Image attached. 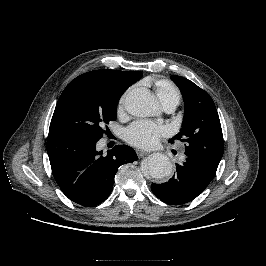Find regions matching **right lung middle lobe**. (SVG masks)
<instances>
[{
    "label": "right lung middle lobe",
    "mask_w": 266,
    "mask_h": 266,
    "mask_svg": "<svg viewBox=\"0 0 266 266\" xmlns=\"http://www.w3.org/2000/svg\"><path fill=\"white\" fill-rule=\"evenodd\" d=\"M125 90L89 80L68 84L57 102L49 134L98 141L105 133L103 127L115 120L117 103Z\"/></svg>",
    "instance_id": "dd1d6c3e"
}]
</instances>
